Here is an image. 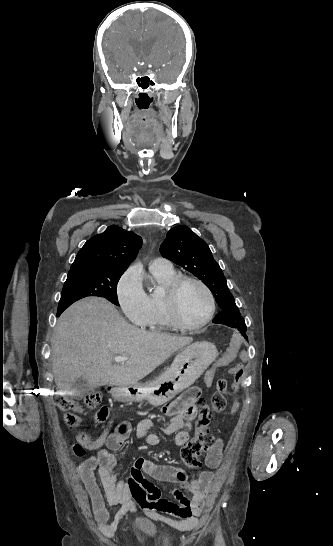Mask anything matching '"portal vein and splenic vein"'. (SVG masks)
<instances>
[{
	"label": "portal vein and splenic vein",
	"instance_id": "obj_1",
	"mask_svg": "<svg viewBox=\"0 0 333 546\" xmlns=\"http://www.w3.org/2000/svg\"><path fill=\"white\" fill-rule=\"evenodd\" d=\"M114 360L117 363H121V362H124V361L128 360V357L117 355V356H115Z\"/></svg>",
	"mask_w": 333,
	"mask_h": 546
}]
</instances>
